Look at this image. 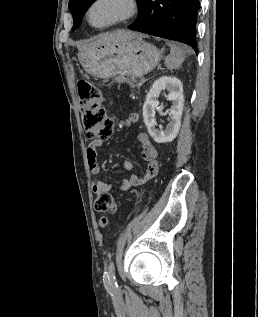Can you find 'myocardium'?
Instances as JSON below:
<instances>
[{"instance_id": "f54148a6", "label": "myocardium", "mask_w": 258, "mask_h": 317, "mask_svg": "<svg viewBox=\"0 0 258 317\" xmlns=\"http://www.w3.org/2000/svg\"><path fill=\"white\" fill-rule=\"evenodd\" d=\"M100 1H112L115 3L121 4L122 6H124L125 10L121 16H119L118 18H116L110 22L96 23L93 21V19L91 17V12H92L94 5ZM136 12H137V5L133 0H93L88 7L86 17H87L88 22L93 27H95L97 29H108V28L114 27L116 25H119V24L131 19L135 15Z\"/></svg>"}]
</instances>
